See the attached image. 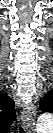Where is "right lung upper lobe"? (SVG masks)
<instances>
[{
  "label": "right lung upper lobe",
  "instance_id": "1",
  "mask_svg": "<svg viewBox=\"0 0 53 133\" xmlns=\"http://www.w3.org/2000/svg\"><path fill=\"white\" fill-rule=\"evenodd\" d=\"M0 127L8 132L16 118L14 102L6 94H0Z\"/></svg>",
  "mask_w": 53,
  "mask_h": 133
}]
</instances>
